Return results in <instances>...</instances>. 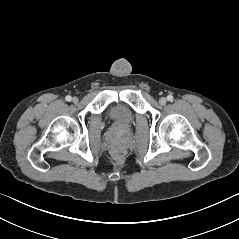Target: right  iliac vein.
<instances>
[{
	"label": "right iliac vein",
	"mask_w": 239,
	"mask_h": 239,
	"mask_svg": "<svg viewBox=\"0 0 239 239\" xmlns=\"http://www.w3.org/2000/svg\"><path fill=\"white\" fill-rule=\"evenodd\" d=\"M72 101H73L74 103H77V102H78V98H77V97H74V98L72 99Z\"/></svg>",
	"instance_id": "63e3f726"
}]
</instances>
